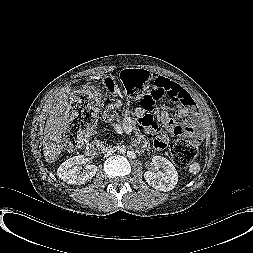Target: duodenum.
Listing matches in <instances>:
<instances>
[{
  "instance_id": "obj_1",
  "label": "duodenum",
  "mask_w": 253,
  "mask_h": 253,
  "mask_svg": "<svg viewBox=\"0 0 253 253\" xmlns=\"http://www.w3.org/2000/svg\"><path fill=\"white\" fill-rule=\"evenodd\" d=\"M102 151V146L92 142L86 147V153L89 156H97Z\"/></svg>"
}]
</instances>
